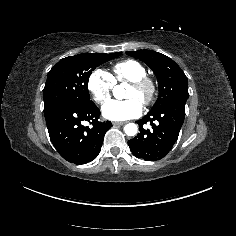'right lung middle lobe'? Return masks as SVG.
Listing matches in <instances>:
<instances>
[{
    "mask_svg": "<svg viewBox=\"0 0 236 236\" xmlns=\"http://www.w3.org/2000/svg\"><path fill=\"white\" fill-rule=\"evenodd\" d=\"M120 55L121 52L82 53L61 59L48 73L43 89L44 107L58 102L77 106L91 104L88 92L91 72L99 65Z\"/></svg>",
    "mask_w": 236,
    "mask_h": 236,
    "instance_id": "dd1d6c3e",
    "label": "right lung middle lobe"
}]
</instances>
